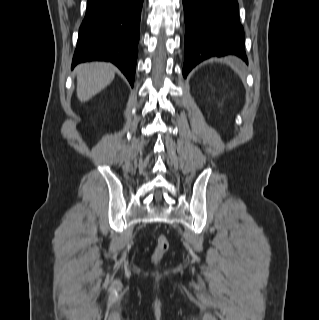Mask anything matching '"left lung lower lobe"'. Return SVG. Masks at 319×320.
Masks as SVG:
<instances>
[{
  "mask_svg": "<svg viewBox=\"0 0 319 320\" xmlns=\"http://www.w3.org/2000/svg\"><path fill=\"white\" fill-rule=\"evenodd\" d=\"M185 62L183 75L213 56L235 55L247 63L237 0H183Z\"/></svg>",
  "mask_w": 319,
  "mask_h": 320,
  "instance_id": "1",
  "label": "left lung lower lobe"
}]
</instances>
